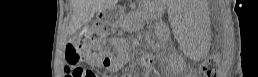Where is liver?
I'll use <instances>...</instances> for the list:
<instances>
[{
    "label": "liver",
    "mask_w": 258,
    "mask_h": 77,
    "mask_svg": "<svg viewBox=\"0 0 258 77\" xmlns=\"http://www.w3.org/2000/svg\"><path fill=\"white\" fill-rule=\"evenodd\" d=\"M116 2L117 0H72L71 31L76 33L93 18L95 13L114 6Z\"/></svg>",
    "instance_id": "6515ba94"
}]
</instances>
